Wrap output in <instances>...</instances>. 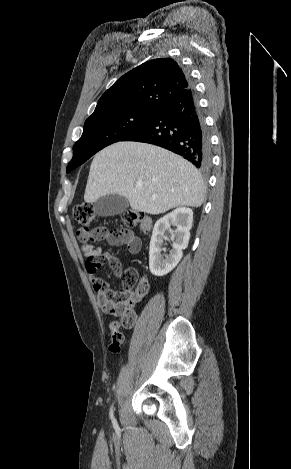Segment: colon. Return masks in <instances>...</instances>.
<instances>
[{
    "label": "colon",
    "instance_id": "colon-1",
    "mask_svg": "<svg viewBox=\"0 0 291 469\" xmlns=\"http://www.w3.org/2000/svg\"><path fill=\"white\" fill-rule=\"evenodd\" d=\"M73 218L81 226V230L85 232V236L89 241H122L128 231L125 230H109L106 227L98 226L92 228L96 214L92 204L81 203L74 206L72 211ZM122 223L127 228L138 226L144 233L150 231L152 222L145 213L136 210H126L121 214ZM104 264L101 258H90L87 261V269L91 272L97 271ZM138 282V273L135 269L129 268L122 275L123 289L115 294H111L107 284L96 283L95 289L107 293L114 303L112 314L119 317L118 321H113L110 325L111 338L109 341V350L111 352H119L123 335L119 331L120 327L131 328L136 321L135 306L144 295L143 290L136 286ZM139 285V284H138Z\"/></svg>",
    "mask_w": 291,
    "mask_h": 469
}]
</instances>
